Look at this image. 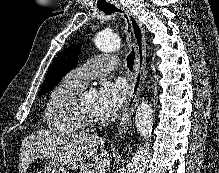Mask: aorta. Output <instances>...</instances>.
<instances>
[{
    "label": "aorta",
    "mask_w": 219,
    "mask_h": 173,
    "mask_svg": "<svg viewBox=\"0 0 219 173\" xmlns=\"http://www.w3.org/2000/svg\"><path fill=\"white\" fill-rule=\"evenodd\" d=\"M95 45L102 52H114L122 47L118 35L100 31L95 37ZM135 124L138 132L145 140L144 146L140 147L127 165L126 173H144L150 159L149 137L153 127V111L147 101H143L137 107Z\"/></svg>",
    "instance_id": "obj_1"
}]
</instances>
